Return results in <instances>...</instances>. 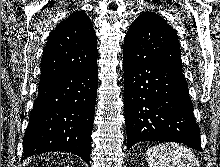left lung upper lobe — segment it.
Segmentation results:
<instances>
[{"instance_id":"obj_1","label":"left lung upper lobe","mask_w":220,"mask_h":167,"mask_svg":"<svg viewBox=\"0 0 220 167\" xmlns=\"http://www.w3.org/2000/svg\"><path fill=\"white\" fill-rule=\"evenodd\" d=\"M124 54L139 61H151L182 69L176 31L153 12H142L125 37Z\"/></svg>"}]
</instances>
